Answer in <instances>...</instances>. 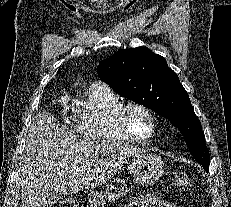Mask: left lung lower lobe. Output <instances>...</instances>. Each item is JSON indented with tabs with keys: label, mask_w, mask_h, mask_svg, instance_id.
<instances>
[{
	"label": "left lung lower lobe",
	"mask_w": 231,
	"mask_h": 207,
	"mask_svg": "<svg viewBox=\"0 0 231 207\" xmlns=\"http://www.w3.org/2000/svg\"><path fill=\"white\" fill-rule=\"evenodd\" d=\"M204 170H205L206 172H208V171H209V168L204 167Z\"/></svg>",
	"instance_id": "left-lung-lower-lobe-1"
}]
</instances>
